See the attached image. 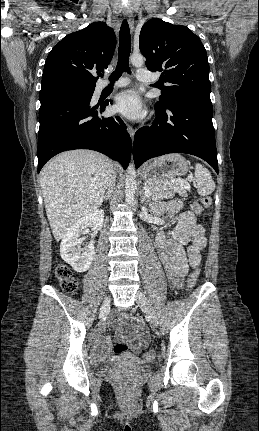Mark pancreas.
<instances>
[{
  "label": "pancreas",
  "mask_w": 259,
  "mask_h": 431,
  "mask_svg": "<svg viewBox=\"0 0 259 431\" xmlns=\"http://www.w3.org/2000/svg\"><path fill=\"white\" fill-rule=\"evenodd\" d=\"M144 186L151 192L148 196L150 200L173 198L175 193H178L181 197H187L188 188L180 183H172L171 181H149L145 182Z\"/></svg>",
  "instance_id": "pancreas-1"
}]
</instances>
